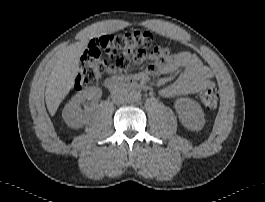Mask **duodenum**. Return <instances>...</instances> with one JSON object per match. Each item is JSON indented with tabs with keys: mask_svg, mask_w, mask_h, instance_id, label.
I'll list each match as a JSON object with an SVG mask.
<instances>
[{
	"mask_svg": "<svg viewBox=\"0 0 265 202\" xmlns=\"http://www.w3.org/2000/svg\"><path fill=\"white\" fill-rule=\"evenodd\" d=\"M105 86L110 92L113 93H116L123 88H128L131 90L148 89L147 85L126 75H115L112 77H108L105 80Z\"/></svg>",
	"mask_w": 265,
	"mask_h": 202,
	"instance_id": "410a0bca",
	"label": "duodenum"
}]
</instances>
